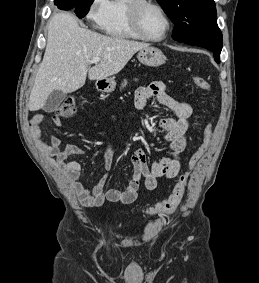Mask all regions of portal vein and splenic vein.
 Masks as SVG:
<instances>
[{
	"label": "portal vein and splenic vein",
	"instance_id": "obj_1",
	"mask_svg": "<svg viewBox=\"0 0 259 283\" xmlns=\"http://www.w3.org/2000/svg\"><path fill=\"white\" fill-rule=\"evenodd\" d=\"M100 61H101V59L99 57H95V58L90 60L89 64H96V63H98Z\"/></svg>",
	"mask_w": 259,
	"mask_h": 283
}]
</instances>
